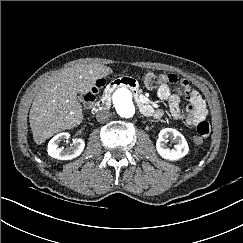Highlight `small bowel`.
I'll use <instances>...</instances> for the list:
<instances>
[{
  "instance_id": "c3829d8e",
  "label": "small bowel",
  "mask_w": 243,
  "mask_h": 243,
  "mask_svg": "<svg viewBox=\"0 0 243 243\" xmlns=\"http://www.w3.org/2000/svg\"><path fill=\"white\" fill-rule=\"evenodd\" d=\"M163 76L165 81L158 88L157 96L168 101L171 116L174 119L182 117L179 104L181 97H185L189 103L186 108V123L195 127L201 136L207 137L210 134V124L206 120L208 111L201 94L192 88L187 80L179 79L173 73H166ZM172 85L176 87L175 92L171 88ZM162 115L161 109L154 110L153 116L155 118H160Z\"/></svg>"
}]
</instances>
